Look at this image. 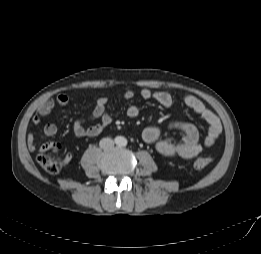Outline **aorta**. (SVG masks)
<instances>
[{
  "mask_svg": "<svg viewBox=\"0 0 261 254\" xmlns=\"http://www.w3.org/2000/svg\"><path fill=\"white\" fill-rule=\"evenodd\" d=\"M116 144L120 146H125L127 144V139L123 136H118L116 138Z\"/></svg>",
  "mask_w": 261,
  "mask_h": 254,
  "instance_id": "obj_1",
  "label": "aorta"
}]
</instances>
